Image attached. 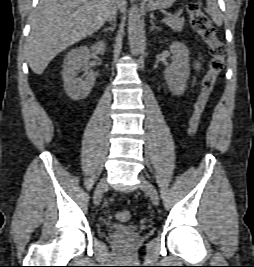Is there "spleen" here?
Segmentation results:
<instances>
[{
    "instance_id": "obj_1",
    "label": "spleen",
    "mask_w": 254,
    "mask_h": 267,
    "mask_svg": "<svg viewBox=\"0 0 254 267\" xmlns=\"http://www.w3.org/2000/svg\"><path fill=\"white\" fill-rule=\"evenodd\" d=\"M207 2V13L211 16L212 20L217 26H221L223 22L222 14L218 9L216 0H206Z\"/></svg>"
}]
</instances>
